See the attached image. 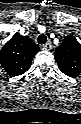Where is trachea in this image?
<instances>
[{
  "label": "trachea",
  "mask_w": 81,
  "mask_h": 124,
  "mask_svg": "<svg viewBox=\"0 0 81 124\" xmlns=\"http://www.w3.org/2000/svg\"><path fill=\"white\" fill-rule=\"evenodd\" d=\"M46 41H47V37L44 34L39 35L38 38H37V42L40 45L45 44Z\"/></svg>",
  "instance_id": "trachea-1"
}]
</instances>
